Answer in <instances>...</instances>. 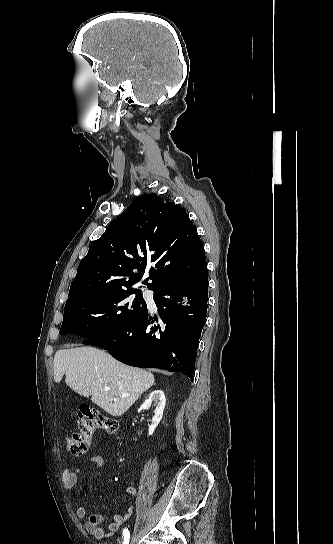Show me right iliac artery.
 <instances>
[{"label":"right iliac artery","mask_w":333,"mask_h":544,"mask_svg":"<svg viewBox=\"0 0 333 544\" xmlns=\"http://www.w3.org/2000/svg\"><path fill=\"white\" fill-rule=\"evenodd\" d=\"M123 544H129V539H130V533H129V530L127 528H125L123 530Z\"/></svg>","instance_id":"82829eb1"}]
</instances>
